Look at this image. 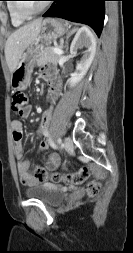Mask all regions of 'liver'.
Segmentation results:
<instances>
[{
	"mask_svg": "<svg viewBox=\"0 0 133 253\" xmlns=\"http://www.w3.org/2000/svg\"><path fill=\"white\" fill-rule=\"evenodd\" d=\"M41 25L42 19H36L20 27L8 37L5 45V58L11 73L16 69L25 49L37 39Z\"/></svg>",
	"mask_w": 133,
	"mask_h": 253,
	"instance_id": "liver-1",
	"label": "liver"
}]
</instances>
